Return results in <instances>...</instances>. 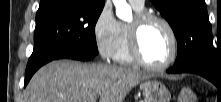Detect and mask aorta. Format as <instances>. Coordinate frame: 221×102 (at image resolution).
I'll use <instances>...</instances> for the list:
<instances>
[{"label":"aorta","instance_id":"aorta-1","mask_svg":"<svg viewBox=\"0 0 221 102\" xmlns=\"http://www.w3.org/2000/svg\"><path fill=\"white\" fill-rule=\"evenodd\" d=\"M116 7V15L122 20H129L132 18V10L126 0H113Z\"/></svg>","mask_w":221,"mask_h":102}]
</instances>
